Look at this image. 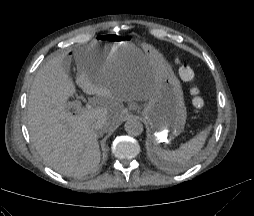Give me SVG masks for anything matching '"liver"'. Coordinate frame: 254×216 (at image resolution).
Here are the masks:
<instances>
[{
    "mask_svg": "<svg viewBox=\"0 0 254 216\" xmlns=\"http://www.w3.org/2000/svg\"><path fill=\"white\" fill-rule=\"evenodd\" d=\"M95 44L81 49L76 58V82L89 99L78 115L66 107L76 92L68 74L67 53L48 60L37 72L28 100V127L34 146L54 170L68 176H83L100 162L97 131L93 125L105 121L112 130L124 112L123 102L147 101L154 79L146 65L100 73L92 79L88 64Z\"/></svg>",
    "mask_w": 254,
    "mask_h": 216,
    "instance_id": "1",
    "label": "liver"
}]
</instances>
